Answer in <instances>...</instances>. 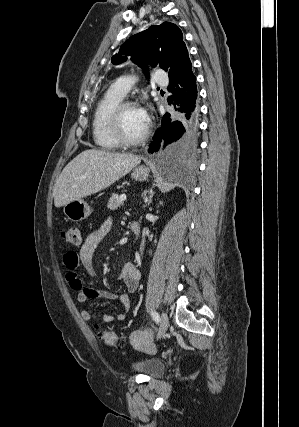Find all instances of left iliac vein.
Here are the masks:
<instances>
[{"label":"left iliac vein","instance_id":"1","mask_svg":"<svg viewBox=\"0 0 299 427\" xmlns=\"http://www.w3.org/2000/svg\"><path fill=\"white\" fill-rule=\"evenodd\" d=\"M168 325H169V319H168V315L165 312H162L161 314V322H160V329L158 332V336L157 339H160L161 337H163L168 329Z\"/></svg>","mask_w":299,"mask_h":427}]
</instances>
